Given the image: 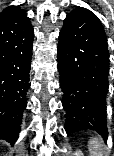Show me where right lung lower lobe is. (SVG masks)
Listing matches in <instances>:
<instances>
[{
  "mask_svg": "<svg viewBox=\"0 0 114 156\" xmlns=\"http://www.w3.org/2000/svg\"><path fill=\"white\" fill-rule=\"evenodd\" d=\"M34 31L24 10L0 16V138L14 143L30 87Z\"/></svg>",
  "mask_w": 114,
  "mask_h": 156,
  "instance_id": "98d812e1",
  "label": "right lung lower lobe"
}]
</instances>
